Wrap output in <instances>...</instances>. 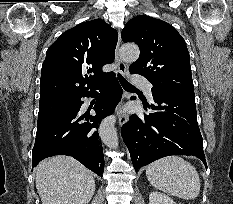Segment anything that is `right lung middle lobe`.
<instances>
[{"mask_svg":"<svg viewBox=\"0 0 233 204\" xmlns=\"http://www.w3.org/2000/svg\"><path fill=\"white\" fill-rule=\"evenodd\" d=\"M75 98H63L39 104L38 123H45L71 108Z\"/></svg>","mask_w":233,"mask_h":204,"instance_id":"dd1d6c3e","label":"right lung middle lobe"}]
</instances>
